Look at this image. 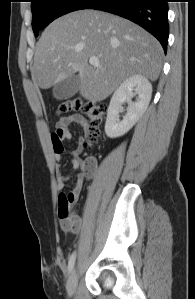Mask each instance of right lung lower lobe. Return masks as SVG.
Returning a JSON list of instances; mask_svg holds the SVG:
<instances>
[{"mask_svg": "<svg viewBox=\"0 0 195 299\" xmlns=\"http://www.w3.org/2000/svg\"><path fill=\"white\" fill-rule=\"evenodd\" d=\"M168 0H91L84 9L110 12L143 27L161 43H168Z\"/></svg>", "mask_w": 195, "mask_h": 299, "instance_id": "98d812e1", "label": "right lung lower lobe"}]
</instances>
